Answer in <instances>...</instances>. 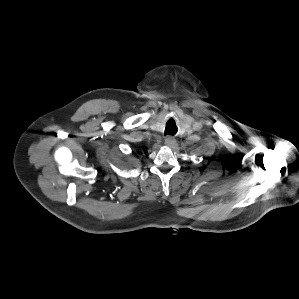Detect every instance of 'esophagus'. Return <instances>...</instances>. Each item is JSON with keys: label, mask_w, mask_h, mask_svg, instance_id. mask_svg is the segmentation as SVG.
Segmentation results:
<instances>
[{"label": "esophagus", "mask_w": 299, "mask_h": 299, "mask_svg": "<svg viewBox=\"0 0 299 299\" xmlns=\"http://www.w3.org/2000/svg\"><path fill=\"white\" fill-rule=\"evenodd\" d=\"M176 140L172 136H168L165 138V145L168 147H172L175 144Z\"/></svg>", "instance_id": "1"}]
</instances>
